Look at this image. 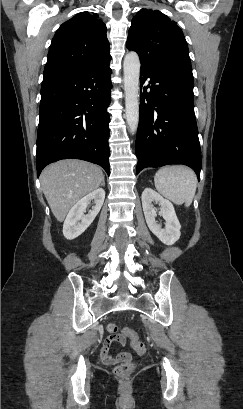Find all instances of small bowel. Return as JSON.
<instances>
[{
	"mask_svg": "<svg viewBox=\"0 0 243 409\" xmlns=\"http://www.w3.org/2000/svg\"><path fill=\"white\" fill-rule=\"evenodd\" d=\"M115 343L125 345L126 341L115 334L107 336L99 351L100 360L103 364L114 365L118 362L130 360V354L127 352H119L116 355H111V346Z\"/></svg>",
	"mask_w": 243,
	"mask_h": 409,
	"instance_id": "obj_1",
	"label": "small bowel"
}]
</instances>
